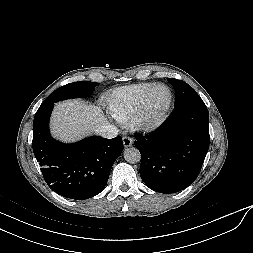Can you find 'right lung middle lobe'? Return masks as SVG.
I'll use <instances>...</instances> for the list:
<instances>
[{
    "label": "right lung middle lobe",
    "mask_w": 253,
    "mask_h": 253,
    "mask_svg": "<svg viewBox=\"0 0 253 253\" xmlns=\"http://www.w3.org/2000/svg\"><path fill=\"white\" fill-rule=\"evenodd\" d=\"M96 85L97 83L90 81H79L66 84L52 92L43 103L58 102L68 98L85 97L94 90Z\"/></svg>",
    "instance_id": "obj_1"
}]
</instances>
